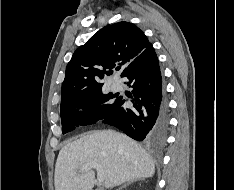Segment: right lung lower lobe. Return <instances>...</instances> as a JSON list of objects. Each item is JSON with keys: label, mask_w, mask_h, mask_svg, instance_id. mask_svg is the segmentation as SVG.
Here are the masks:
<instances>
[{"label": "right lung lower lobe", "mask_w": 234, "mask_h": 190, "mask_svg": "<svg viewBox=\"0 0 234 190\" xmlns=\"http://www.w3.org/2000/svg\"><path fill=\"white\" fill-rule=\"evenodd\" d=\"M122 77L132 87V107L121 96L103 123L117 127L137 141L160 144L168 126L167 103L163 94L159 61L154 48L147 47L127 67Z\"/></svg>", "instance_id": "1"}]
</instances>
